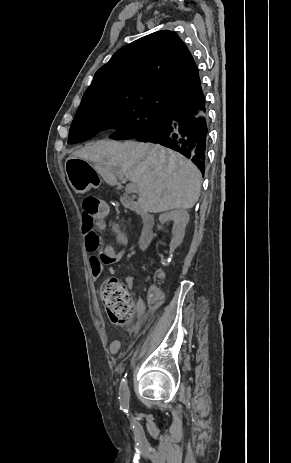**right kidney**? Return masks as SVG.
Here are the masks:
<instances>
[{
  "instance_id": "obj_1",
  "label": "right kidney",
  "mask_w": 291,
  "mask_h": 463,
  "mask_svg": "<svg viewBox=\"0 0 291 463\" xmlns=\"http://www.w3.org/2000/svg\"><path fill=\"white\" fill-rule=\"evenodd\" d=\"M189 218V213L182 209L166 212L159 217L160 224H164L169 221L173 222V239L170 244V253H172L182 243Z\"/></svg>"
}]
</instances>
